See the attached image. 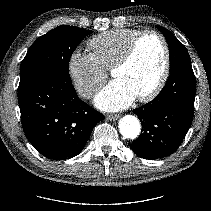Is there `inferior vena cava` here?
<instances>
[{"instance_id":"obj_1","label":"inferior vena cava","mask_w":211,"mask_h":211,"mask_svg":"<svg viewBox=\"0 0 211 211\" xmlns=\"http://www.w3.org/2000/svg\"><path fill=\"white\" fill-rule=\"evenodd\" d=\"M92 95V89H87L82 93V96L85 98H89Z\"/></svg>"}]
</instances>
